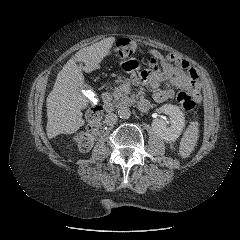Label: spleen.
I'll list each match as a JSON object with an SVG mask.
<instances>
[{
  "instance_id": "3e777b00",
  "label": "spleen",
  "mask_w": 240,
  "mask_h": 240,
  "mask_svg": "<svg viewBox=\"0 0 240 240\" xmlns=\"http://www.w3.org/2000/svg\"><path fill=\"white\" fill-rule=\"evenodd\" d=\"M199 135V123L192 121L186 129L179 146V154L187 158L194 150Z\"/></svg>"
}]
</instances>
